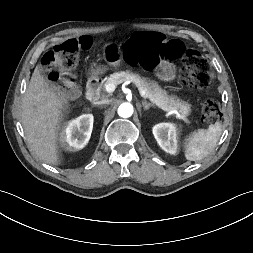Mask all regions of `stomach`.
Returning a JSON list of instances; mask_svg holds the SVG:
<instances>
[{"label":"stomach","mask_w":253,"mask_h":253,"mask_svg":"<svg viewBox=\"0 0 253 253\" xmlns=\"http://www.w3.org/2000/svg\"><path fill=\"white\" fill-rule=\"evenodd\" d=\"M103 59L105 62L114 67L118 68L122 62V55L120 52V46L116 43H107L103 47ZM105 71L104 67L98 66L93 70L94 75L102 74ZM175 66L170 63H162L156 72L157 77L163 81H172L175 78ZM173 100L175 106L185 104L178 97H170Z\"/></svg>","instance_id":"0dacf381"}]
</instances>
